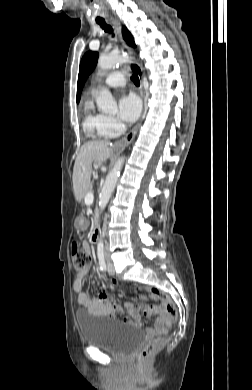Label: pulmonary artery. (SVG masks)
Wrapping results in <instances>:
<instances>
[{
	"label": "pulmonary artery",
	"instance_id": "obj_1",
	"mask_svg": "<svg viewBox=\"0 0 252 390\" xmlns=\"http://www.w3.org/2000/svg\"><path fill=\"white\" fill-rule=\"evenodd\" d=\"M126 83V74L121 71H116L109 74L105 79V85L107 87H120L124 86Z\"/></svg>",
	"mask_w": 252,
	"mask_h": 390
}]
</instances>
